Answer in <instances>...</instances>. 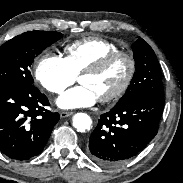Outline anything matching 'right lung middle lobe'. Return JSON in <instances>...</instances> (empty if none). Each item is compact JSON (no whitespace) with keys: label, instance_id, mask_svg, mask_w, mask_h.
Wrapping results in <instances>:
<instances>
[{"label":"right lung middle lobe","instance_id":"obj_1","mask_svg":"<svg viewBox=\"0 0 183 183\" xmlns=\"http://www.w3.org/2000/svg\"><path fill=\"white\" fill-rule=\"evenodd\" d=\"M63 35L54 31H29L0 47V85L33 84L30 66L46 47Z\"/></svg>","mask_w":183,"mask_h":183}]
</instances>
